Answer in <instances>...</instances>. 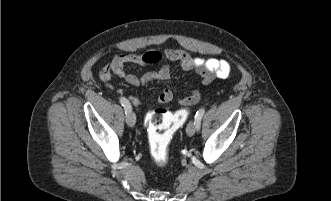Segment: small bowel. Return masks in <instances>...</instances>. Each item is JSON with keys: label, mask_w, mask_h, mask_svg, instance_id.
<instances>
[{"label": "small bowel", "mask_w": 331, "mask_h": 201, "mask_svg": "<svg viewBox=\"0 0 331 201\" xmlns=\"http://www.w3.org/2000/svg\"><path fill=\"white\" fill-rule=\"evenodd\" d=\"M169 62H176L185 71H194L201 78L204 84H208L215 78L225 79L230 74V64L224 59L191 57L184 51L170 49L161 54L150 51L146 53L126 52L117 55L102 71V78L109 79L112 75L122 77L132 86H141L150 82L165 81L170 77ZM160 63V68L155 72H148L139 77L132 73H127L126 65L135 64L139 66H149ZM172 97L169 90L163 89L157 98L158 103H166ZM130 101L134 105H139L140 100L131 96Z\"/></svg>", "instance_id": "1"}]
</instances>
